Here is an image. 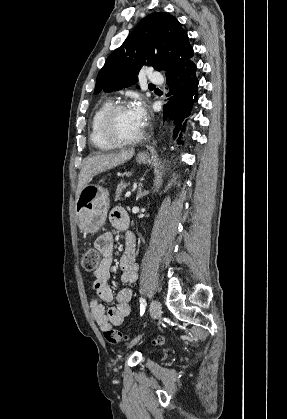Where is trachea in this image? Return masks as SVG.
<instances>
[{"mask_svg": "<svg viewBox=\"0 0 287 419\" xmlns=\"http://www.w3.org/2000/svg\"><path fill=\"white\" fill-rule=\"evenodd\" d=\"M150 86H155V85H153V84H150Z\"/></svg>", "mask_w": 287, "mask_h": 419, "instance_id": "3493384b", "label": "trachea"}]
</instances>
